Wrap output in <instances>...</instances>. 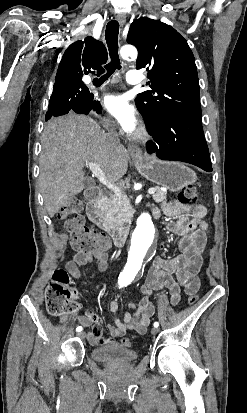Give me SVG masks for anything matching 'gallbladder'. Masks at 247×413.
<instances>
[{
	"label": "gallbladder",
	"instance_id": "gallbladder-1",
	"mask_svg": "<svg viewBox=\"0 0 247 413\" xmlns=\"http://www.w3.org/2000/svg\"><path fill=\"white\" fill-rule=\"evenodd\" d=\"M85 186H88L89 182H90V176H86L85 180H83Z\"/></svg>",
	"mask_w": 247,
	"mask_h": 413
}]
</instances>
